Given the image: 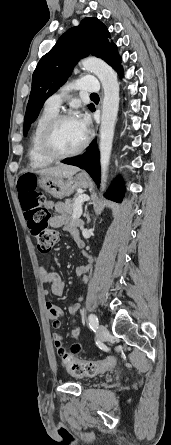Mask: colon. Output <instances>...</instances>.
<instances>
[{"label":"colon","mask_w":171,"mask_h":445,"mask_svg":"<svg viewBox=\"0 0 171 445\" xmlns=\"http://www.w3.org/2000/svg\"><path fill=\"white\" fill-rule=\"evenodd\" d=\"M34 176H24L18 180L17 189L21 208L32 237L36 240L40 252H49L59 240V232L51 225V215L46 208L42 192L36 188ZM63 364L68 372L77 377L94 376L105 371L113 359L98 361L75 360L69 353L63 352Z\"/></svg>","instance_id":"5ec220e1"}]
</instances>
